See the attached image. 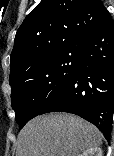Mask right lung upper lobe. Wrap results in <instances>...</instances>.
I'll return each mask as SVG.
<instances>
[{
  "label": "right lung upper lobe",
  "instance_id": "1",
  "mask_svg": "<svg viewBox=\"0 0 114 156\" xmlns=\"http://www.w3.org/2000/svg\"><path fill=\"white\" fill-rule=\"evenodd\" d=\"M107 14L101 0H42L17 30L9 83L36 63L78 46Z\"/></svg>",
  "mask_w": 114,
  "mask_h": 156
}]
</instances>
